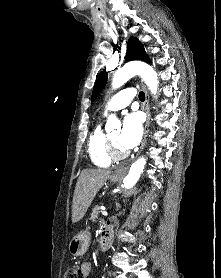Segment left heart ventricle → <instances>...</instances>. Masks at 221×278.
Returning <instances> with one entry per match:
<instances>
[{"instance_id":"1","label":"left heart ventricle","mask_w":221,"mask_h":278,"mask_svg":"<svg viewBox=\"0 0 221 278\" xmlns=\"http://www.w3.org/2000/svg\"><path fill=\"white\" fill-rule=\"evenodd\" d=\"M120 132L119 131H114L112 133H109V136L111 140L113 141L115 147L117 150L122 151L125 150L118 142V137H119Z\"/></svg>"}]
</instances>
